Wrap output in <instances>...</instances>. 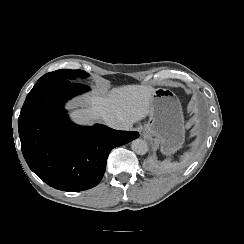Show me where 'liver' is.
<instances>
[{"instance_id": "1", "label": "liver", "mask_w": 244, "mask_h": 244, "mask_svg": "<svg viewBox=\"0 0 244 244\" xmlns=\"http://www.w3.org/2000/svg\"><path fill=\"white\" fill-rule=\"evenodd\" d=\"M153 92L154 88L149 85H125L112 88L106 97L87 94L82 97L87 108L73 111L71 118L78 124H92L108 117L131 129L133 123L149 114ZM78 104L80 100L74 99L66 108L72 109Z\"/></svg>"}]
</instances>
